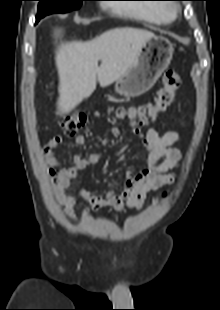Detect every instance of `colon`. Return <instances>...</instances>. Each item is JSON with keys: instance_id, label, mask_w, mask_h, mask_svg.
<instances>
[{"instance_id": "obj_1", "label": "colon", "mask_w": 220, "mask_h": 310, "mask_svg": "<svg viewBox=\"0 0 220 310\" xmlns=\"http://www.w3.org/2000/svg\"><path fill=\"white\" fill-rule=\"evenodd\" d=\"M180 85L179 74L174 70H168L163 75L162 86L153 101L128 108L118 107L115 112L119 116L127 117L135 129L144 127L171 106ZM86 121L87 118L84 113L74 111L64 114L60 124L65 134L74 135L85 126ZM165 197L166 194L163 195V198Z\"/></svg>"}]
</instances>
